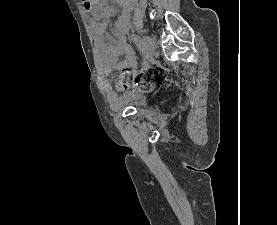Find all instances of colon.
Returning <instances> with one entry per match:
<instances>
[{
	"mask_svg": "<svg viewBox=\"0 0 277 225\" xmlns=\"http://www.w3.org/2000/svg\"><path fill=\"white\" fill-rule=\"evenodd\" d=\"M121 75L124 87L136 86L146 92L154 88V73L151 70L131 72L129 69H125Z\"/></svg>",
	"mask_w": 277,
	"mask_h": 225,
	"instance_id": "obj_1",
	"label": "colon"
}]
</instances>
